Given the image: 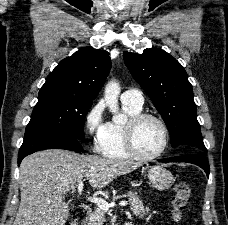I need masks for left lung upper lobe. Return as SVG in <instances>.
<instances>
[{
	"label": "left lung upper lobe",
	"mask_w": 228,
	"mask_h": 225,
	"mask_svg": "<svg viewBox=\"0 0 228 225\" xmlns=\"http://www.w3.org/2000/svg\"><path fill=\"white\" fill-rule=\"evenodd\" d=\"M123 57L165 121L172 147L186 145L190 154H205L192 85L182 65L159 48L145 49L142 54L124 52Z\"/></svg>",
	"instance_id": "obj_1"
}]
</instances>
